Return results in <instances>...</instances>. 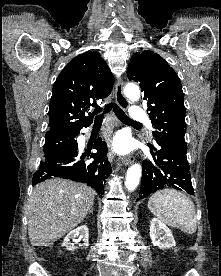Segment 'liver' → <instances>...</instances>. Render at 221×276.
Masks as SVG:
<instances>
[{
    "label": "liver",
    "instance_id": "6515ba94",
    "mask_svg": "<svg viewBox=\"0 0 221 276\" xmlns=\"http://www.w3.org/2000/svg\"><path fill=\"white\" fill-rule=\"evenodd\" d=\"M95 191L82 183L49 179L37 185L27 204L33 246H49L78 226L94 204Z\"/></svg>",
    "mask_w": 221,
    "mask_h": 276
}]
</instances>
